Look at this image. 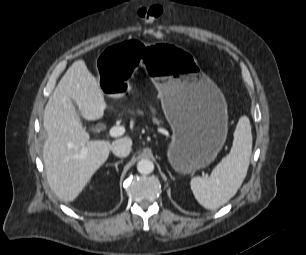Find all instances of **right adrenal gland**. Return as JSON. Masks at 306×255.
I'll list each match as a JSON object with an SVG mask.
<instances>
[{"instance_id": "right-adrenal-gland-1", "label": "right adrenal gland", "mask_w": 306, "mask_h": 255, "mask_svg": "<svg viewBox=\"0 0 306 255\" xmlns=\"http://www.w3.org/2000/svg\"><path fill=\"white\" fill-rule=\"evenodd\" d=\"M122 162H123V160H120V161H117V162L112 163V164H109V165H110V166H114L115 169H116V171H118V165H119L120 163H122Z\"/></svg>"}]
</instances>
